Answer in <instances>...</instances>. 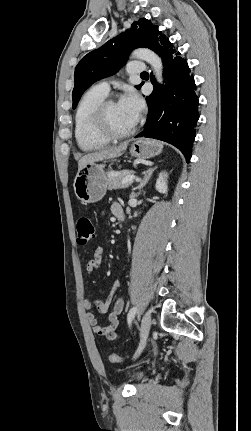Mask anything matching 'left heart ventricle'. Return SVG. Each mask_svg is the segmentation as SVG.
I'll list each match as a JSON object with an SVG mask.
<instances>
[{"mask_svg":"<svg viewBox=\"0 0 251 431\" xmlns=\"http://www.w3.org/2000/svg\"><path fill=\"white\" fill-rule=\"evenodd\" d=\"M108 121L111 128L119 132L126 131L135 124L134 119L120 106L119 102H114L109 106Z\"/></svg>","mask_w":251,"mask_h":431,"instance_id":"left-heart-ventricle-1","label":"left heart ventricle"}]
</instances>
